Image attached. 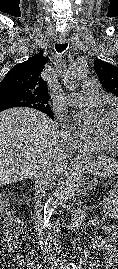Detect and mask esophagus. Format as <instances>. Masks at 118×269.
Masks as SVG:
<instances>
[{
    "instance_id": "34e87169",
    "label": "esophagus",
    "mask_w": 118,
    "mask_h": 269,
    "mask_svg": "<svg viewBox=\"0 0 118 269\" xmlns=\"http://www.w3.org/2000/svg\"><path fill=\"white\" fill-rule=\"evenodd\" d=\"M66 41H67V38H65V37H60L58 39L59 43H65ZM85 160H86V157L84 155H82V154L76 155L75 158H74L75 163H80V162H83Z\"/></svg>"
}]
</instances>
